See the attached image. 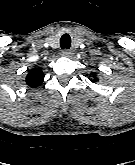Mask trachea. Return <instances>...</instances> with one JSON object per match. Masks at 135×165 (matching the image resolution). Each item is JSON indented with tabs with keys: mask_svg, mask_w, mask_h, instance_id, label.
I'll list each match as a JSON object with an SVG mask.
<instances>
[{
	"mask_svg": "<svg viewBox=\"0 0 135 165\" xmlns=\"http://www.w3.org/2000/svg\"><path fill=\"white\" fill-rule=\"evenodd\" d=\"M60 46L62 49H69L71 46V37L68 34L62 35L60 38Z\"/></svg>",
	"mask_w": 135,
	"mask_h": 165,
	"instance_id": "trachea-1",
	"label": "trachea"
}]
</instances>
